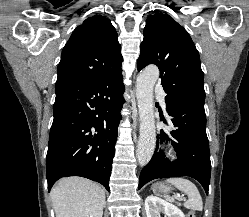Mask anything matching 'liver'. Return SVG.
<instances>
[{"label": "liver", "mask_w": 249, "mask_h": 217, "mask_svg": "<svg viewBox=\"0 0 249 217\" xmlns=\"http://www.w3.org/2000/svg\"><path fill=\"white\" fill-rule=\"evenodd\" d=\"M56 217H102L105 192L96 183L80 177L59 180L51 190Z\"/></svg>", "instance_id": "liver-1"}]
</instances>
